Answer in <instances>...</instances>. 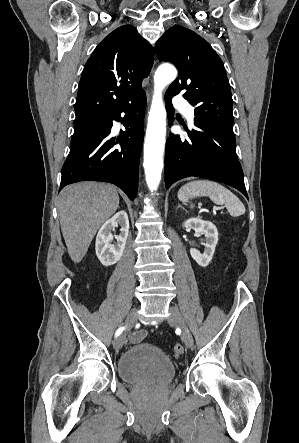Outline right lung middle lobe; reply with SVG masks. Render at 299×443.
Returning <instances> with one entry per match:
<instances>
[{
  "label": "right lung middle lobe",
  "mask_w": 299,
  "mask_h": 443,
  "mask_svg": "<svg viewBox=\"0 0 299 443\" xmlns=\"http://www.w3.org/2000/svg\"><path fill=\"white\" fill-rule=\"evenodd\" d=\"M99 129H101L99 118L88 119L76 123L74 126V134L72 136V147Z\"/></svg>",
  "instance_id": "dd1d6c3e"
}]
</instances>
